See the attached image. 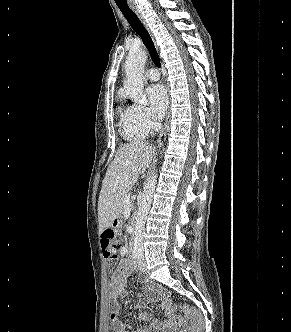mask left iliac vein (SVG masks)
<instances>
[{
    "label": "left iliac vein",
    "mask_w": 291,
    "mask_h": 332,
    "mask_svg": "<svg viewBox=\"0 0 291 332\" xmlns=\"http://www.w3.org/2000/svg\"><path fill=\"white\" fill-rule=\"evenodd\" d=\"M139 270L143 273L147 271V264L144 258H142L138 263Z\"/></svg>",
    "instance_id": "1"
}]
</instances>
